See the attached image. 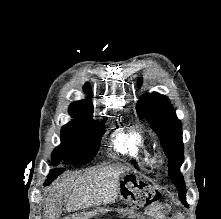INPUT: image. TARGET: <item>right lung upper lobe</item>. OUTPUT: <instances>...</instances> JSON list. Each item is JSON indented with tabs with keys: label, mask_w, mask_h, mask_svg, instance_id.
Masks as SVG:
<instances>
[{
	"label": "right lung upper lobe",
	"mask_w": 221,
	"mask_h": 219,
	"mask_svg": "<svg viewBox=\"0 0 221 219\" xmlns=\"http://www.w3.org/2000/svg\"><path fill=\"white\" fill-rule=\"evenodd\" d=\"M84 90L87 94H90V85L86 84ZM69 113L75 121H94L92 119L93 105L90 99L73 102L70 105Z\"/></svg>",
	"instance_id": "cb5924a9"
}]
</instances>
